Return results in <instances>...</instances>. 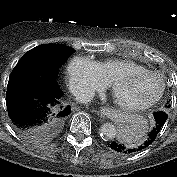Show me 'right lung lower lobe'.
Masks as SVG:
<instances>
[{
  "instance_id": "right-lung-lower-lobe-1",
  "label": "right lung lower lobe",
  "mask_w": 177,
  "mask_h": 177,
  "mask_svg": "<svg viewBox=\"0 0 177 177\" xmlns=\"http://www.w3.org/2000/svg\"><path fill=\"white\" fill-rule=\"evenodd\" d=\"M57 74L34 62L15 67L9 77L6 105L10 119L20 130L40 135L58 130L70 114L62 104Z\"/></svg>"
}]
</instances>
